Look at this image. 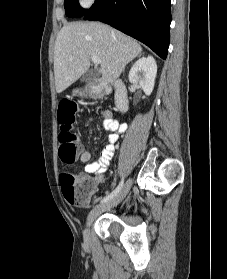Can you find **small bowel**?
<instances>
[{
  "instance_id": "obj_1",
  "label": "small bowel",
  "mask_w": 227,
  "mask_h": 279,
  "mask_svg": "<svg viewBox=\"0 0 227 279\" xmlns=\"http://www.w3.org/2000/svg\"><path fill=\"white\" fill-rule=\"evenodd\" d=\"M101 116L103 118L104 128L109 131L108 142L99 154V159L96 162H90L91 153L87 150H82L80 155V161L85 163L82 174L84 176H95L98 183L104 182V173L106 172L110 160L115 151V144L118 141V136L127 129V125L124 123H119L117 120L113 119L111 113L107 110L101 111ZM66 198L68 202L74 203L73 196L66 193Z\"/></svg>"
}]
</instances>
